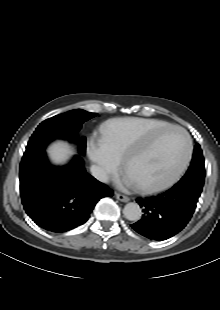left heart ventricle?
Wrapping results in <instances>:
<instances>
[{"label":"left heart ventricle","instance_id":"b2bd125f","mask_svg":"<svg viewBox=\"0 0 220 310\" xmlns=\"http://www.w3.org/2000/svg\"><path fill=\"white\" fill-rule=\"evenodd\" d=\"M185 148L184 137L179 133L171 132L164 138L154 156L130 163L129 172L137 178L150 174L162 181L170 172H175L180 166Z\"/></svg>","mask_w":220,"mask_h":310}]
</instances>
